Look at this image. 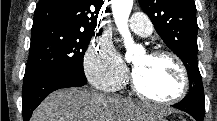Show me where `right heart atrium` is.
<instances>
[{"label":"right heart atrium","mask_w":217,"mask_h":121,"mask_svg":"<svg viewBox=\"0 0 217 121\" xmlns=\"http://www.w3.org/2000/svg\"><path fill=\"white\" fill-rule=\"evenodd\" d=\"M83 66L90 83L104 91L118 90L127 78L123 63L111 41L105 37L96 39L89 46Z\"/></svg>","instance_id":"d8ad5b80"}]
</instances>
